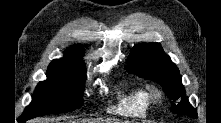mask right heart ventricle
<instances>
[{
	"label": "right heart ventricle",
	"mask_w": 221,
	"mask_h": 123,
	"mask_svg": "<svg viewBox=\"0 0 221 123\" xmlns=\"http://www.w3.org/2000/svg\"><path fill=\"white\" fill-rule=\"evenodd\" d=\"M149 109V99L143 87H130L118 94L117 103L112 110L129 117H144Z\"/></svg>",
	"instance_id": "1"
}]
</instances>
